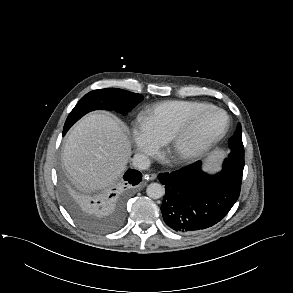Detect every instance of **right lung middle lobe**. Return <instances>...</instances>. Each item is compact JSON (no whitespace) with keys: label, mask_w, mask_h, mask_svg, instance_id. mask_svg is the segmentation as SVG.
Wrapping results in <instances>:
<instances>
[{"label":"right lung middle lobe","mask_w":293,"mask_h":293,"mask_svg":"<svg viewBox=\"0 0 293 293\" xmlns=\"http://www.w3.org/2000/svg\"><path fill=\"white\" fill-rule=\"evenodd\" d=\"M143 96L126 90L108 88L94 90L80 99L70 112L63 129V134L83 115L93 110H115L127 113L134 108ZM64 201L73 217L83 227L93 231H107L116 227L112 222V214L100 215L93 212L84 199L69 192L64 193Z\"/></svg>","instance_id":"dd1d6c3e"}]
</instances>
